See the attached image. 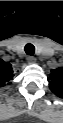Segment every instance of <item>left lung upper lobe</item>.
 <instances>
[{
    "instance_id": "1",
    "label": "left lung upper lobe",
    "mask_w": 63,
    "mask_h": 123,
    "mask_svg": "<svg viewBox=\"0 0 63 123\" xmlns=\"http://www.w3.org/2000/svg\"><path fill=\"white\" fill-rule=\"evenodd\" d=\"M49 87L58 97L63 96V69L58 68L51 71L49 76Z\"/></svg>"
}]
</instances>
